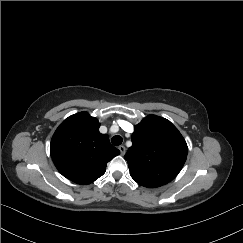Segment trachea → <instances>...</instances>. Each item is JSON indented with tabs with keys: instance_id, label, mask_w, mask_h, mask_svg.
<instances>
[{
	"instance_id": "3493384b",
	"label": "trachea",
	"mask_w": 243,
	"mask_h": 243,
	"mask_svg": "<svg viewBox=\"0 0 243 243\" xmlns=\"http://www.w3.org/2000/svg\"><path fill=\"white\" fill-rule=\"evenodd\" d=\"M111 142L114 146H119L123 142V138L119 135L112 137Z\"/></svg>"
}]
</instances>
